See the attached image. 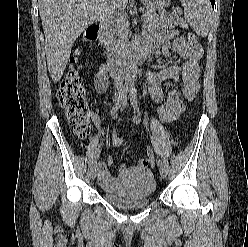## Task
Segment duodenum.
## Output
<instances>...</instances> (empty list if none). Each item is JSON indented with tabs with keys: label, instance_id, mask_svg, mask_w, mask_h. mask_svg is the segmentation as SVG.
Instances as JSON below:
<instances>
[{
	"label": "duodenum",
	"instance_id": "duodenum-1",
	"mask_svg": "<svg viewBox=\"0 0 248 247\" xmlns=\"http://www.w3.org/2000/svg\"><path fill=\"white\" fill-rule=\"evenodd\" d=\"M93 28L97 33L96 39L103 44L106 36V21L98 20L93 25ZM148 58V53L145 50H134L126 55L113 54L107 63V69L113 73L123 72L125 71L130 60L140 65L143 64Z\"/></svg>",
	"mask_w": 248,
	"mask_h": 247
}]
</instances>
